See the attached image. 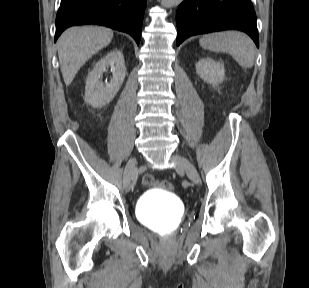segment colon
<instances>
[{
  "label": "colon",
  "instance_id": "1",
  "mask_svg": "<svg viewBox=\"0 0 309 288\" xmlns=\"http://www.w3.org/2000/svg\"><path fill=\"white\" fill-rule=\"evenodd\" d=\"M143 184L146 185V186H152V185H157L159 186L160 188H163V189H170L171 188V185L170 183L166 182V181H156L154 179V177L150 176V175H147L143 178Z\"/></svg>",
  "mask_w": 309,
  "mask_h": 288
}]
</instances>
